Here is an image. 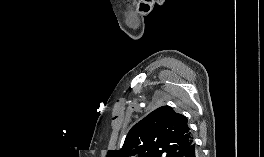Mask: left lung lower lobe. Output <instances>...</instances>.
<instances>
[{
  "instance_id": "1",
  "label": "left lung lower lobe",
  "mask_w": 264,
  "mask_h": 157,
  "mask_svg": "<svg viewBox=\"0 0 264 157\" xmlns=\"http://www.w3.org/2000/svg\"><path fill=\"white\" fill-rule=\"evenodd\" d=\"M186 157H198L194 143L190 146Z\"/></svg>"
}]
</instances>
